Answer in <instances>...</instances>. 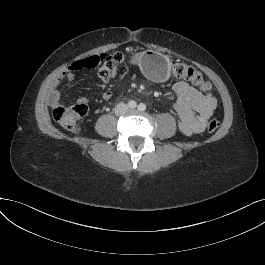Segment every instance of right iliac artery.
I'll return each mask as SVG.
<instances>
[{"instance_id": "right-iliac-artery-1", "label": "right iliac artery", "mask_w": 265, "mask_h": 265, "mask_svg": "<svg viewBox=\"0 0 265 265\" xmlns=\"http://www.w3.org/2000/svg\"><path fill=\"white\" fill-rule=\"evenodd\" d=\"M136 106H137V103L135 101L131 100L128 102L129 108L134 109V108H136Z\"/></svg>"}]
</instances>
